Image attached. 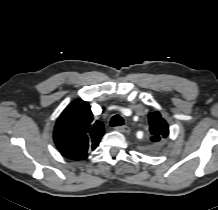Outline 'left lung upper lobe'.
<instances>
[{
	"label": "left lung upper lobe",
	"mask_w": 218,
	"mask_h": 210,
	"mask_svg": "<svg viewBox=\"0 0 218 210\" xmlns=\"http://www.w3.org/2000/svg\"><path fill=\"white\" fill-rule=\"evenodd\" d=\"M150 132L152 134L151 140L158 142L166 138L169 134V127L167 122L161 117L159 112L149 114Z\"/></svg>",
	"instance_id": "1"
}]
</instances>
